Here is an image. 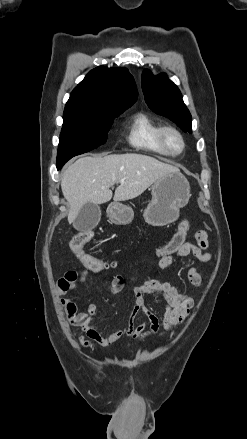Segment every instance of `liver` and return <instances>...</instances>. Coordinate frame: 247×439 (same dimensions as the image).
Masks as SVG:
<instances>
[{"mask_svg": "<svg viewBox=\"0 0 247 439\" xmlns=\"http://www.w3.org/2000/svg\"><path fill=\"white\" fill-rule=\"evenodd\" d=\"M173 172L180 170L136 153L79 158L61 179L62 193L69 204L68 222H74L87 202L98 205L110 201V187L114 184L120 183L114 201H125L141 195L155 181Z\"/></svg>", "mask_w": 247, "mask_h": 439, "instance_id": "obj_1", "label": "liver"}]
</instances>
